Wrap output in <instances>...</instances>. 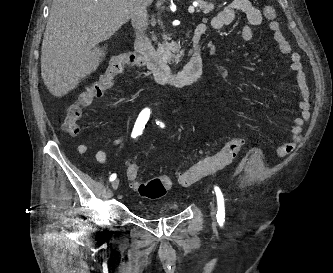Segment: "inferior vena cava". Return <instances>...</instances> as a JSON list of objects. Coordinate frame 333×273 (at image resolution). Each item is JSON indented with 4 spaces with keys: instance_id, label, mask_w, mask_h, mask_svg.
<instances>
[{
    "instance_id": "obj_1",
    "label": "inferior vena cava",
    "mask_w": 333,
    "mask_h": 273,
    "mask_svg": "<svg viewBox=\"0 0 333 273\" xmlns=\"http://www.w3.org/2000/svg\"><path fill=\"white\" fill-rule=\"evenodd\" d=\"M128 12L137 37H142L148 25L145 0H128Z\"/></svg>"
}]
</instances>
